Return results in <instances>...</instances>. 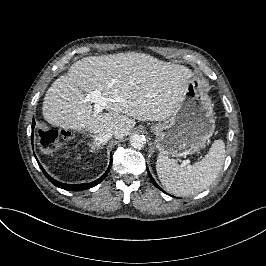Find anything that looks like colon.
Here are the masks:
<instances>
[{
  "instance_id": "1",
  "label": "colon",
  "mask_w": 266,
  "mask_h": 266,
  "mask_svg": "<svg viewBox=\"0 0 266 266\" xmlns=\"http://www.w3.org/2000/svg\"><path fill=\"white\" fill-rule=\"evenodd\" d=\"M39 145L47 152H55L61 145L59 132L51 127H40L38 129Z\"/></svg>"
}]
</instances>
